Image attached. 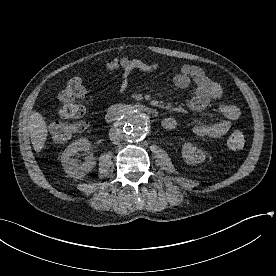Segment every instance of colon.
I'll return each instance as SVG.
<instances>
[{
	"label": "colon",
	"instance_id": "5ec220e1",
	"mask_svg": "<svg viewBox=\"0 0 276 276\" xmlns=\"http://www.w3.org/2000/svg\"><path fill=\"white\" fill-rule=\"evenodd\" d=\"M106 69L109 72L127 71L138 69L135 60L124 58H116L106 63ZM86 94L85 87L80 78H73L67 82L65 87L59 93L58 114L61 118L79 119L85 113V108L79 103ZM87 124L84 121L74 123L60 122L50 128V135L54 141L62 142L68 140L74 133L83 131ZM229 149L233 151L241 150L246 145V139L243 132L233 131L227 140Z\"/></svg>",
	"mask_w": 276,
	"mask_h": 276
}]
</instances>
